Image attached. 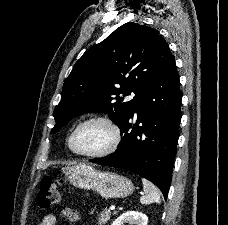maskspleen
<instances>
[{
  "label": "spleen",
  "instance_id": "spleen-1",
  "mask_svg": "<svg viewBox=\"0 0 228 225\" xmlns=\"http://www.w3.org/2000/svg\"><path fill=\"white\" fill-rule=\"evenodd\" d=\"M143 183V191L146 195H143L140 199V203L142 205H151V203H160V195L157 187L152 185L150 181H146V179H142Z\"/></svg>",
  "mask_w": 228,
  "mask_h": 225
}]
</instances>
